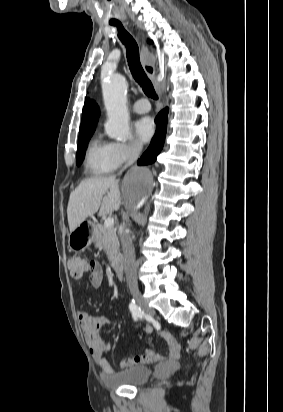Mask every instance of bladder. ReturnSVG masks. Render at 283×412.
I'll return each mask as SVG.
<instances>
[{
  "instance_id": "31cf9c89",
  "label": "bladder",
  "mask_w": 283,
  "mask_h": 412,
  "mask_svg": "<svg viewBox=\"0 0 283 412\" xmlns=\"http://www.w3.org/2000/svg\"><path fill=\"white\" fill-rule=\"evenodd\" d=\"M149 377L150 369L148 367L133 366L104 375V382L110 387L139 386L145 384Z\"/></svg>"
}]
</instances>
